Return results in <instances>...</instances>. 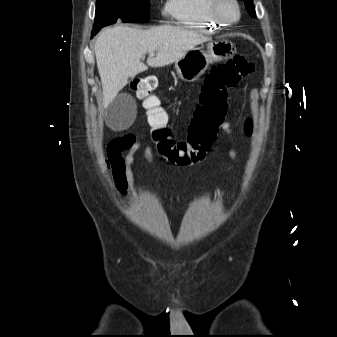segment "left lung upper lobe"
Returning <instances> with one entry per match:
<instances>
[{"mask_svg": "<svg viewBox=\"0 0 337 337\" xmlns=\"http://www.w3.org/2000/svg\"><path fill=\"white\" fill-rule=\"evenodd\" d=\"M244 1H245V6L248 10V13L252 17H255L256 13H255V10H254L253 0H244Z\"/></svg>", "mask_w": 337, "mask_h": 337, "instance_id": "obj_1", "label": "left lung upper lobe"}]
</instances>
